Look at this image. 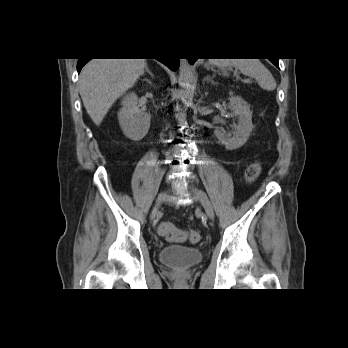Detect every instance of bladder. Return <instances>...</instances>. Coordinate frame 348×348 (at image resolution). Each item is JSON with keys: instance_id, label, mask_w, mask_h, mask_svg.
<instances>
[{"instance_id": "1", "label": "bladder", "mask_w": 348, "mask_h": 348, "mask_svg": "<svg viewBox=\"0 0 348 348\" xmlns=\"http://www.w3.org/2000/svg\"><path fill=\"white\" fill-rule=\"evenodd\" d=\"M204 257V252L198 247L170 245L159 251L158 259L162 264L188 268L199 263Z\"/></svg>"}]
</instances>
